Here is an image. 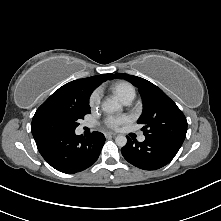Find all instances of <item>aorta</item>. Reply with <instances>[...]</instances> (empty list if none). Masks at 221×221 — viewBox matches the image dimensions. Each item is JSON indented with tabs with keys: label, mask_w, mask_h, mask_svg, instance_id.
Segmentation results:
<instances>
[{
	"label": "aorta",
	"mask_w": 221,
	"mask_h": 221,
	"mask_svg": "<svg viewBox=\"0 0 221 221\" xmlns=\"http://www.w3.org/2000/svg\"><path fill=\"white\" fill-rule=\"evenodd\" d=\"M121 109L122 106L116 99H107L102 103V110L108 114L114 113ZM115 142L119 147H124L127 143V138L124 135H118L115 138Z\"/></svg>",
	"instance_id": "1"
}]
</instances>
